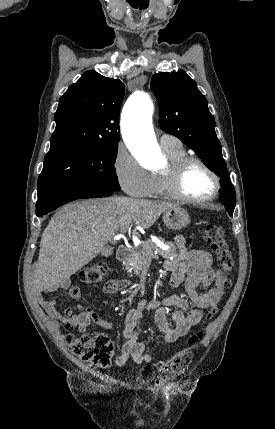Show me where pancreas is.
Returning <instances> with one entry per match:
<instances>
[{
    "mask_svg": "<svg viewBox=\"0 0 275 429\" xmlns=\"http://www.w3.org/2000/svg\"><path fill=\"white\" fill-rule=\"evenodd\" d=\"M166 245L169 246V249L163 250L151 240L144 241L140 247L132 251L129 259L124 265L138 275L140 271L148 269L152 258L155 256V250L165 259L176 256V247L170 242L166 243Z\"/></svg>",
    "mask_w": 275,
    "mask_h": 429,
    "instance_id": "cf45deb5",
    "label": "pancreas"
}]
</instances>
